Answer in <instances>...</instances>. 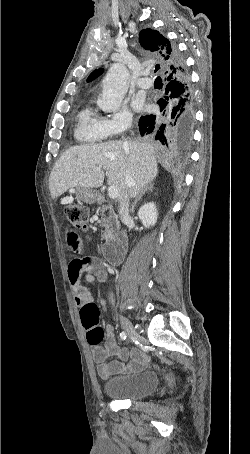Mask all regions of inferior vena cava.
Returning a JSON list of instances; mask_svg holds the SVG:
<instances>
[{
    "instance_id": "inferior-vena-cava-1",
    "label": "inferior vena cava",
    "mask_w": 250,
    "mask_h": 454,
    "mask_svg": "<svg viewBox=\"0 0 250 454\" xmlns=\"http://www.w3.org/2000/svg\"><path fill=\"white\" fill-rule=\"evenodd\" d=\"M124 148H125V150L127 149V142H124ZM125 182L127 184V187L130 188L131 176L128 171L126 172V175H125ZM119 207H120L119 208L120 219L122 222H125L129 218V196L127 193L125 194L124 198L120 201ZM110 300L112 302H114L112 294L110 295Z\"/></svg>"
}]
</instances>
